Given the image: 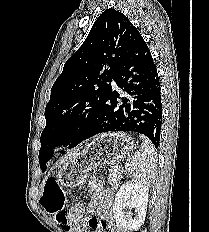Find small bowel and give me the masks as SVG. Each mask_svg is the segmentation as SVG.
Listing matches in <instances>:
<instances>
[{"label": "small bowel", "mask_w": 209, "mask_h": 232, "mask_svg": "<svg viewBox=\"0 0 209 232\" xmlns=\"http://www.w3.org/2000/svg\"><path fill=\"white\" fill-rule=\"evenodd\" d=\"M88 193L90 202L87 205H73L65 216L68 226H62L63 229L67 232H120L111 213V191L104 187L100 180L92 179L88 184ZM76 198L80 199L81 195L77 194ZM91 212H96L97 216H91Z\"/></svg>", "instance_id": "small-bowel-1"}]
</instances>
